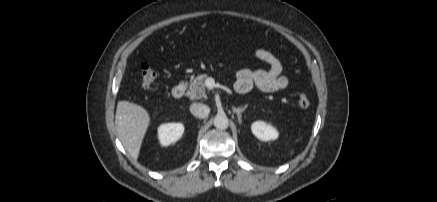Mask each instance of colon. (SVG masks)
<instances>
[{"mask_svg": "<svg viewBox=\"0 0 437 202\" xmlns=\"http://www.w3.org/2000/svg\"><path fill=\"white\" fill-rule=\"evenodd\" d=\"M156 78H157V71L153 67H151L147 64H143L141 74H140L142 86L144 88L151 87L153 85V83L155 82ZM297 106L301 109L308 108L310 106L309 98L306 95L301 94L298 97Z\"/></svg>", "mask_w": 437, "mask_h": 202, "instance_id": "5ec220e1", "label": "colon"}]
</instances>
